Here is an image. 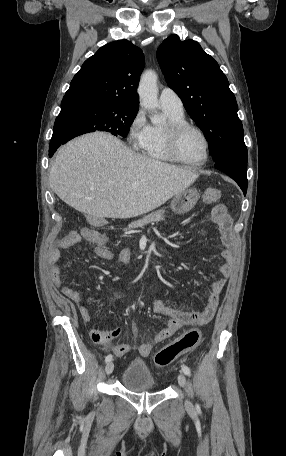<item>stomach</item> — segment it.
I'll list each match as a JSON object with an SVG mask.
<instances>
[{
    "label": "stomach",
    "mask_w": 286,
    "mask_h": 456,
    "mask_svg": "<svg viewBox=\"0 0 286 456\" xmlns=\"http://www.w3.org/2000/svg\"><path fill=\"white\" fill-rule=\"evenodd\" d=\"M199 193L194 189H185L174 196L170 208L174 213L185 214L189 212L197 203Z\"/></svg>",
    "instance_id": "stomach-1"
}]
</instances>
